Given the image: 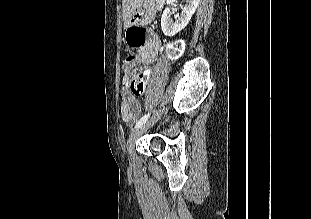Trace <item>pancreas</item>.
Segmentation results:
<instances>
[{"label":"pancreas","mask_w":311,"mask_h":219,"mask_svg":"<svg viewBox=\"0 0 311 219\" xmlns=\"http://www.w3.org/2000/svg\"><path fill=\"white\" fill-rule=\"evenodd\" d=\"M157 2V7H160L162 5V0H156Z\"/></svg>","instance_id":"1"}]
</instances>
